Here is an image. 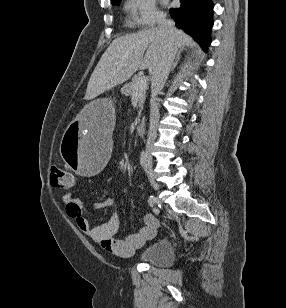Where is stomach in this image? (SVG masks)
<instances>
[{"mask_svg":"<svg viewBox=\"0 0 286 308\" xmlns=\"http://www.w3.org/2000/svg\"><path fill=\"white\" fill-rule=\"evenodd\" d=\"M114 97H95L88 109L65 122L63 142H58L63 163L78 174H101L110 159L108 137L118 133Z\"/></svg>","mask_w":286,"mask_h":308,"instance_id":"stomach-1","label":"stomach"}]
</instances>
